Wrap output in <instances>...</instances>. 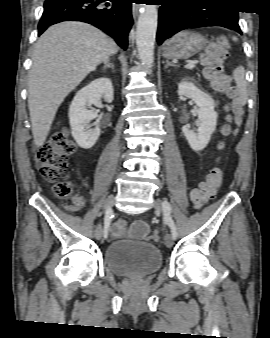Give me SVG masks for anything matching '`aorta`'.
<instances>
[{
	"instance_id": "obj_1",
	"label": "aorta",
	"mask_w": 270,
	"mask_h": 338,
	"mask_svg": "<svg viewBox=\"0 0 270 338\" xmlns=\"http://www.w3.org/2000/svg\"><path fill=\"white\" fill-rule=\"evenodd\" d=\"M157 20L156 5L144 4L137 22L136 44L139 58L147 67H151L154 62Z\"/></svg>"
}]
</instances>
